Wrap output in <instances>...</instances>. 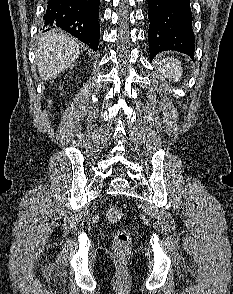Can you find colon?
<instances>
[{
  "label": "colon",
  "mask_w": 233,
  "mask_h": 294,
  "mask_svg": "<svg viewBox=\"0 0 233 294\" xmlns=\"http://www.w3.org/2000/svg\"><path fill=\"white\" fill-rule=\"evenodd\" d=\"M107 219L112 223H119L122 219V210L118 207H110L106 213ZM130 236L127 231L117 232L114 242V250L117 256L123 257L128 252Z\"/></svg>",
  "instance_id": "1"
}]
</instances>
